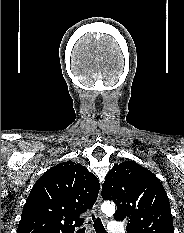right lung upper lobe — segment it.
<instances>
[{"instance_id": "cb5924a9", "label": "right lung upper lobe", "mask_w": 184, "mask_h": 233, "mask_svg": "<svg viewBox=\"0 0 184 233\" xmlns=\"http://www.w3.org/2000/svg\"><path fill=\"white\" fill-rule=\"evenodd\" d=\"M100 184L73 161L46 171L34 184L24 205L17 233H72L81 213L92 208Z\"/></svg>"}]
</instances>
